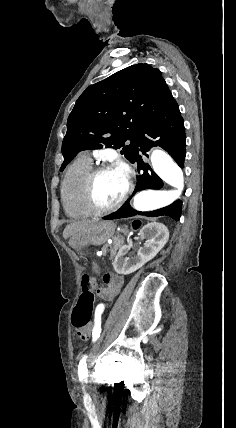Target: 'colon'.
Returning <instances> with one entry per match:
<instances>
[{"label":"colon","mask_w":236,"mask_h":428,"mask_svg":"<svg viewBox=\"0 0 236 428\" xmlns=\"http://www.w3.org/2000/svg\"><path fill=\"white\" fill-rule=\"evenodd\" d=\"M82 294L73 311L72 325L75 329L83 330L90 323L93 307L96 280L90 275H83L81 278Z\"/></svg>","instance_id":"5ec220e1"}]
</instances>
